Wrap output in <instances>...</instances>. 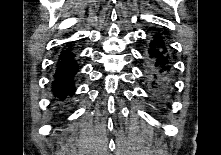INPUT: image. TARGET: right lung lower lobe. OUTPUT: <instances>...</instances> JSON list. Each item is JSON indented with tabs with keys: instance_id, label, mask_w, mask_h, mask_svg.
<instances>
[{
	"instance_id": "obj_1",
	"label": "right lung lower lobe",
	"mask_w": 221,
	"mask_h": 155,
	"mask_svg": "<svg viewBox=\"0 0 221 155\" xmlns=\"http://www.w3.org/2000/svg\"><path fill=\"white\" fill-rule=\"evenodd\" d=\"M77 71L78 65L70 48L63 50L57 62V69L52 83L54 95L57 98L63 100L65 97L73 95L75 91L73 78Z\"/></svg>"
}]
</instances>
